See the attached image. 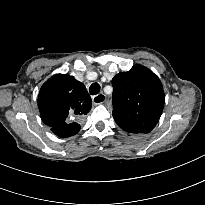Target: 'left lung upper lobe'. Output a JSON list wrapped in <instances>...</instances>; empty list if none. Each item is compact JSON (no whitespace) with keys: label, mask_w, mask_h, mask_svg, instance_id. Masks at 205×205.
<instances>
[{"label":"left lung upper lobe","mask_w":205,"mask_h":205,"mask_svg":"<svg viewBox=\"0 0 205 205\" xmlns=\"http://www.w3.org/2000/svg\"><path fill=\"white\" fill-rule=\"evenodd\" d=\"M113 117L127 133H149L158 123L165 95L160 79L150 69L134 65L112 79Z\"/></svg>","instance_id":"1"}]
</instances>
